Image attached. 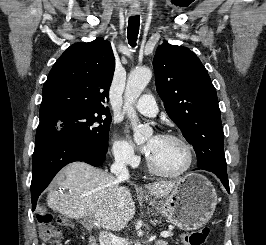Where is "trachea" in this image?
Returning <instances> with one entry per match:
<instances>
[{"instance_id": "3493384b", "label": "trachea", "mask_w": 266, "mask_h": 245, "mask_svg": "<svg viewBox=\"0 0 266 245\" xmlns=\"http://www.w3.org/2000/svg\"><path fill=\"white\" fill-rule=\"evenodd\" d=\"M139 32V16L129 17L127 38L132 47H135Z\"/></svg>"}]
</instances>
